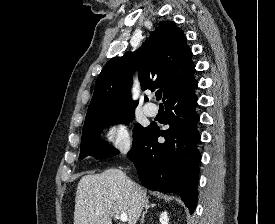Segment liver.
Segmentation results:
<instances>
[{"instance_id":"liver-1","label":"liver","mask_w":275,"mask_h":224,"mask_svg":"<svg viewBox=\"0 0 275 224\" xmlns=\"http://www.w3.org/2000/svg\"><path fill=\"white\" fill-rule=\"evenodd\" d=\"M148 204L146 190L119 169L83 176L77 186L74 224H112L113 214H126L136 224Z\"/></svg>"}]
</instances>
